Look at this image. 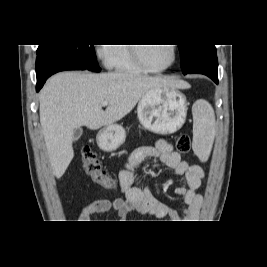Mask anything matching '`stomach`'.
<instances>
[{
	"instance_id": "stomach-1",
	"label": "stomach",
	"mask_w": 267,
	"mask_h": 267,
	"mask_svg": "<svg viewBox=\"0 0 267 267\" xmlns=\"http://www.w3.org/2000/svg\"><path fill=\"white\" fill-rule=\"evenodd\" d=\"M137 115L142 126L154 133L167 135L178 131L186 120L187 101L176 87H162L148 91L139 101ZM125 130L112 124L96 137L100 149L112 152L125 141Z\"/></svg>"
}]
</instances>
